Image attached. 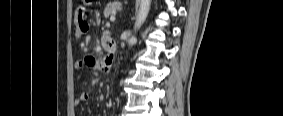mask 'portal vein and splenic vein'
<instances>
[{"instance_id":"obj_1","label":"portal vein and splenic vein","mask_w":283,"mask_h":116,"mask_svg":"<svg viewBox=\"0 0 283 116\" xmlns=\"http://www.w3.org/2000/svg\"><path fill=\"white\" fill-rule=\"evenodd\" d=\"M115 19H116V18H115V16H114V15H112V16L110 17V21H111V22H114V21H115Z\"/></svg>"}]
</instances>
